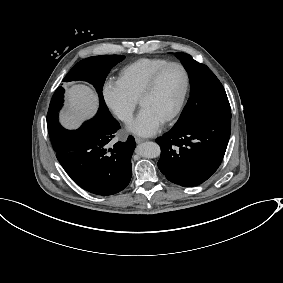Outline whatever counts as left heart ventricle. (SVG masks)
Here are the masks:
<instances>
[{
  "instance_id": "b2bd125f",
  "label": "left heart ventricle",
  "mask_w": 283,
  "mask_h": 283,
  "mask_svg": "<svg viewBox=\"0 0 283 283\" xmlns=\"http://www.w3.org/2000/svg\"><path fill=\"white\" fill-rule=\"evenodd\" d=\"M184 88V75L178 66L168 68L159 78L153 92L140 104L161 119L176 107Z\"/></svg>"
}]
</instances>
